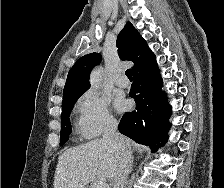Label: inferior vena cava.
I'll return each mask as SVG.
<instances>
[{"mask_svg":"<svg viewBox=\"0 0 224 188\" xmlns=\"http://www.w3.org/2000/svg\"><path fill=\"white\" fill-rule=\"evenodd\" d=\"M118 123L111 120L106 126L103 139L119 152V165L114 177L113 188H124L132 165L131 147L127 140L117 131Z\"/></svg>","mask_w":224,"mask_h":188,"instance_id":"602c4592","label":"inferior vena cava"}]
</instances>
